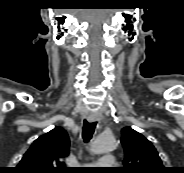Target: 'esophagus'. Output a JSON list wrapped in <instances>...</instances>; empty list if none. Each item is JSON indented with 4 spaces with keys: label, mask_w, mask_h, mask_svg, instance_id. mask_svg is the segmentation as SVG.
<instances>
[{
    "label": "esophagus",
    "mask_w": 184,
    "mask_h": 173,
    "mask_svg": "<svg viewBox=\"0 0 184 173\" xmlns=\"http://www.w3.org/2000/svg\"><path fill=\"white\" fill-rule=\"evenodd\" d=\"M101 119V115L98 114V113H90L88 116H87V120L89 122H94V121H98Z\"/></svg>",
    "instance_id": "1"
}]
</instances>
